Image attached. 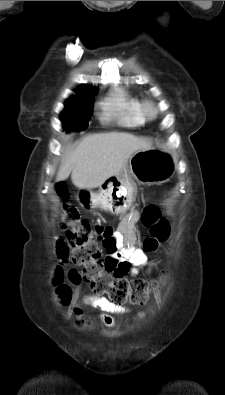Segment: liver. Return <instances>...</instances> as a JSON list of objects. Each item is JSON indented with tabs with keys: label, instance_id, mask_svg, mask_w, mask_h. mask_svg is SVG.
Here are the masks:
<instances>
[{
	"label": "liver",
	"instance_id": "obj_1",
	"mask_svg": "<svg viewBox=\"0 0 225 395\" xmlns=\"http://www.w3.org/2000/svg\"><path fill=\"white\" fill-rule=\"evenodd\" d=\"M150 148L148 139L129 133L109 132L86 136L67 154L58 169L56 181L66 180L71 174L76 187L97 188L108 178L120 175L135 152Z\"/></svg>",
	"mask_w": 225,
	"mask_h": 395
}]
</instances>
